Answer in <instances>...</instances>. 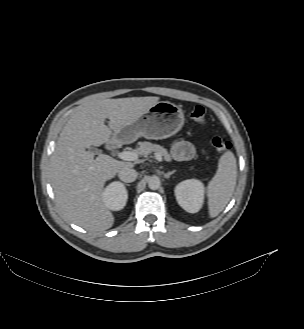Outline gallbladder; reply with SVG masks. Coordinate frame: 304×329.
Here are the masks:
<instances>
[{
	"label": "gallbladder",
	"mask_w": 304,
	"mask_h": 329,
	"mask_svg": "<svg viewBox=\"0 0 304 329\" xmlns=\"http://www.w3.org/2000/svg\"><path fill=\"white\" fill-rule=\"evenodd\" d=\"M88 151L93 153V154H99L100 153V151L97 148H94V147L88 148Z\"/></svg>",
	"instance_id": "obj_1"
}]
</instances>
